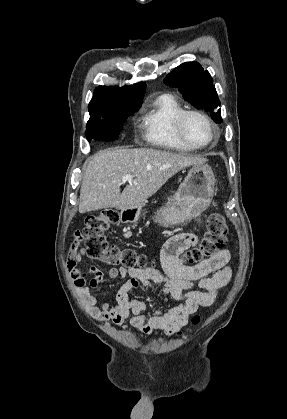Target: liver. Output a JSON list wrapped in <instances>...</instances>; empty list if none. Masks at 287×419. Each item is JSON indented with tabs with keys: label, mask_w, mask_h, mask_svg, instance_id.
<instances>
[{
	"label": "liver",
	"mask_w": 287,
	"mask_h": 419,
	"mask_svg": "<svg viewBox=\"0 0 287 419\" xmlns=\"http://www.w3.org/2000/svg\"><path fill=\"white\" fill-rule=\"evenodd\" d=\"M206 161L155 148L100 150L84 164L79 212L140 207L180 170ZM127 174L134 179L121 193V178Z\"/></svg>",
	"instance_id": "liver-1"
}]
</instances>
